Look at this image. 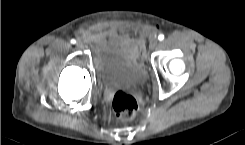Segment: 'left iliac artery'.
<instances>
[{
    "instance_id": "obj_1",
    "label": "left iliac artery",
    "mask_w": 245,
    "mask_h": 145,
    "mask_svg": "<svg viewBox=\"0 0 245 145\" xmlns=\"http://www.w3.org/2000/svg\"><path fill=\"white\" fill-rule=\"evenodd\" d=\"M158 39H159L160 41H162V40L164 39V35H163V34H160V35L158 36Z\"/></svg>"
}]
</instances>
